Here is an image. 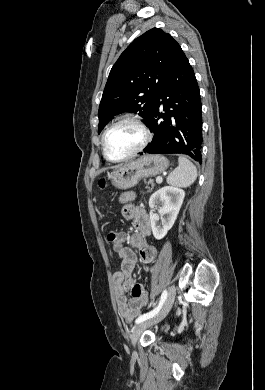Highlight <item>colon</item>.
<instances>
[{"label": "colon", "instance_id": "5ec220e1", "mask_svg": "<svg viewBox=\"0 0 265 390\" xmlns=\"http://www.w3.org/2000/svg\"><path fill=\"white\" fill-rule=\"evenodd\" d=\"M99 186H100V188L105 187V181L103 179H101L99 181ZM107 242L110 245H112L114 248H116L117 244H118L117 233L116 232H109L107 235ZM141 298H142L143 305H148L149 307H151L153 305L152 303H150L149 297L146 293L142 294Z\"/></svg>", "mask_w": 265, "mask_h": 390}]
</instances>
